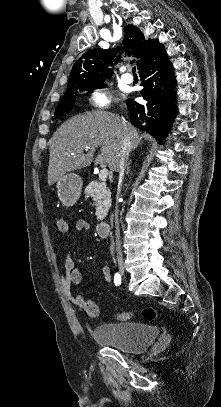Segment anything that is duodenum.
<instances>
[{
	"label": "duodenum",
	"instance_id": "duodenum-1",
	"mask_svg": "<svg viewBox=\"0 0 221 407\" xmlns=\"http://www.w3.org/2000/svg\"><path fill=\"white\" fill-rule=\"evenodd\" d=\"M111 228V224L109 222H100L97 226V232L99 236H107Z\"/></svg>",
	"mask_w": 221,
	"mask_h": 407
}]
</instances>
